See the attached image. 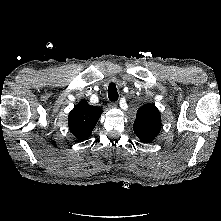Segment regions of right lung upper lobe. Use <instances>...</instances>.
I'll return each mask as SVG.
<instances>
[{
  "label": "right lung upper lobe",
  "mask_w": 221,
  "mask_h": 221,
  "mask_svg": "<svg viewBox=\"0 0 221 221\" xmlns=\"http://www.w3.org/2000/svg\"><path fill=\"white\" fill-rule=\"evenodd\" d=\"M102 112L103 110L99 107L80 101L69 113V130L79 141L88 139Z\"/></svg>",
  "instance_id": "1"
}]
</instances>
